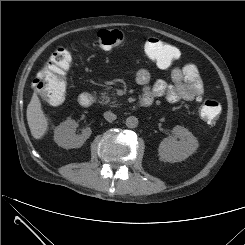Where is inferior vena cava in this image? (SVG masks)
I'll return each instance as SVG.
<instances>
[{"label": "inferior vena cava", "instance_id": "inferior-vena-cava-1", "mask_svg": "<svg viewBox=\"0 0 245 245\" xmlns=\"http://www.w3.org/2000/svg\"><path fill=\"white\" fill-rule=\"evenodd\" d=\"M104 118L108 121V122H112L114 120H116L117 116L110 112V111H107L104 113Z\"/></svg>", "mask_w": 245, "mask_h": 245}]
</instances>
